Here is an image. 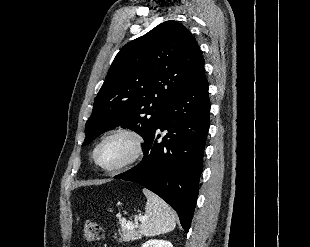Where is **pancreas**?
<instances>
[{
    "label": "pancreas",
    "mask_w": 310,
    "mask_h": 247,
    "mask_svg": "<svg viewBox=\"0 0 310 247\" xmlns=\"http://www.w3.org/2000/svg\"><path fill=\"white\" fill-rule=\"evenodd\" d=\"M119 235H120V239L119 241H125V242H129V241H134V240H138L141 238V235L135 231V230H130L127 229L126 227H121V229H119ZM115 238H116V234H115Z\"/></svg>",
    "instance_id": "pancreas-1"
}]
</instances>
